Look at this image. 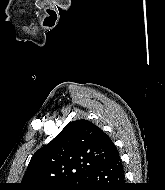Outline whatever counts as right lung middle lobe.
<instances>
[{"mask_svg":"<svg viewBox=\"0 0 165 190\" xmlns=\"http://www.w3.org/2000/svg\"><path fill=\"white\" fill-rule=\"evenodd\" d=\"M81 187V181H78L77 183L69 184L67 186L55 188L54 190H79Z\"/></svg>","mask_w":165,"mask_h":190,"instance_id":"obj_1","label":"right lung middle lobe"}]
</instances>
